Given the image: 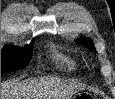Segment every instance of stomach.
<instances>
[{
	"label": "stomach",
	"instance_id": "0dacf381",
	"mask_svg": "<svg viewBox=\"0 0 115 99\" xmlns=\"http://www.w3.org/2000/svg\"><path fill=\"white\" fill-rule=\"evenodd\" d=\"M87 98H92V95L88 92H79L73 95L71 99H87Z\"/></svg>",
	"mask_w": 115,
	"mask_h": 99
}]
</instances>
